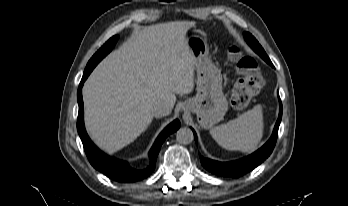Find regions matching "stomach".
Instances as JSON below:
<instances>
[{
  "instance_id": "0dacf381",
  "label": "stomach",
  "mask_w": 348,
  "mask_h": 206,
  "mask_svg": "<svg viewBox=\"0 0 348 206\" xmlns=\"http://www.w3.org/2000/svg\"><path fill=\"white\" fill-rule=\"evenodd\" d=\"M186 44L195 58L197 72V94L188 107L197 114L202 126L211 127L223 118L228 108L222 93V75L208 58L207 44L201 38L188 37Z\"/></svg>"
}]
</instances>
